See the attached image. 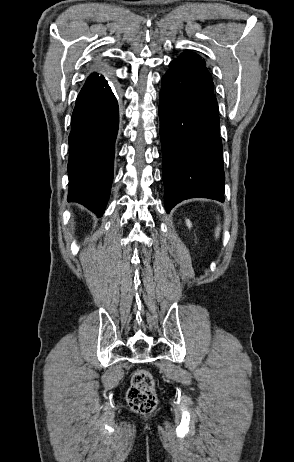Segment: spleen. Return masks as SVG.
<instances>
[{"instance_id": "spleen-1", "label": "spleen", "mask_w": 294, "mask_h": 462, "mask_svg": "<svg viewBox=\"0 0 294 462\" xmlns=\"http://www.w3.org/2000/svg\"><path fill=\"white\" fill-rule=\"evenodd\" d=\"M219 231H220V228L217 227V230H216V232H215L216 237L219 235Z\"/></svg>"}]
</instances>
